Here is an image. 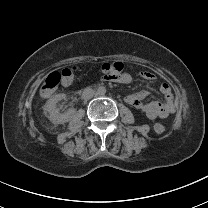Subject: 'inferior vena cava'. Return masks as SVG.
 Segmentation results:
<instances>
[{"mask_svg": "<svg viewBox=\"0 0 208 208\" xmlns=\"http://www.w3.org/2000/svg\"><path fill=\"white\" fill-rule=\"evenodd\" d=\"M95 92L92 88L86 87L82 92V98L85 100L91 99L94 96Z\"/></svg>", "mask_w": 208, "mask_h": 208, "instance_id": "inferior-vena-cava-1", "label": "inferior vena cava"}]
</instances>
